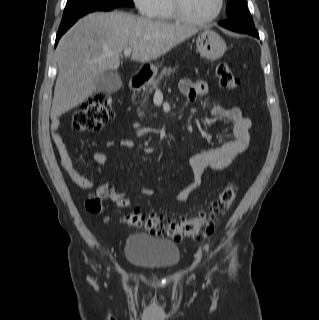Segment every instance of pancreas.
<instances>
[{
  "mask_svg": "<svg viewBox=\"0 0 319 320\" xmlns=\"http://www.w3.org/2000/svg\"><path fill=\"white\" fill-rule=\"evenodd\" d=\"M175 72V68H163V70L161 71L160 75L157 78H153L150 79L144 86H143V102L142 104H145V102L148 100L149 95L153 92V90H155L158 86V84L160 83L161 79H163L164 77L169 76L170 74ZM143 114V112H142Z\"/></svg>",
  "mask_w": 319,
  "mask_h": 320,
  "instance_id": "obj_1",
  "label": "pancreas"
}]
</instances>
